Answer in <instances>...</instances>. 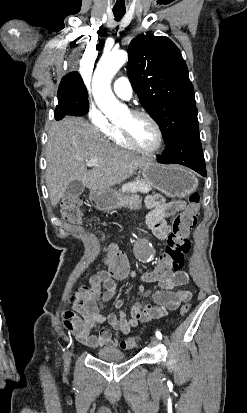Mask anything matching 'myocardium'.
Segmentation results:
<instances>
[{"label": "myocardium", "mask_w": 247, "mask_h": 413, "mask_svg": "<svg viewBox=\"0 0 247 413\" xmlns=\"http://www.w3.org/2000/svg\"><path fill=\"white\" fill-rule=\"evenodd\" d=\"M131 114H132L133 118H145L147 121H149V123L152 125V127L155 128L158 132L159 142L153 148L143 147L135 139V137L133 136V134H132V132L130 131L129 128H119L120 133H121L124 141L130 147H132L134 150H136L138 152H141L143 154L152 155V154L159 153L163 149V147L165 145V141H166L165 133H164L162 127L160 126V124L153 118L152 115H150L145 110H135Z\"/></svg>", "instance_id": "f54148a6"}]
</instances>
